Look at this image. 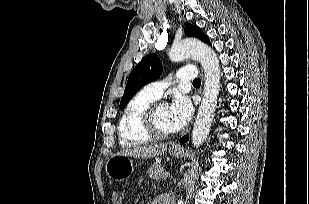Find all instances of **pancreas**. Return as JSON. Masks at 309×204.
Listing matches in <instances>:
<instances>
[{
	"label": "pancreas",
	"instance_id": "obj_1",
	"mask_svg": "<svg viewBox=\"0 0 309 204\" xmlns=\"http://www.w3.org/2000/svg\"><path fill=\"white\" fill-rule=\"evenodd\" d=\"M148 175L154 179V180H161L165 178V171L164 168L160 164H153L151 167L148 169Z\"/></svg>",
	"mask_w": 309,
	"mask_h": 204
}]
</instances>
